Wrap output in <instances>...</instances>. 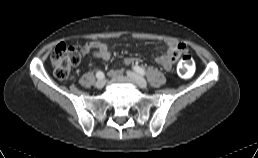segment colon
Here are the masks:
<instances>
[{
  "mask_svg": "<svg viewBox=\"0 0 258 158\" xmlns=\"http://www.w3.org/2000/svg\"><path fill=\"white\" fill-rule=\"evenodd\" d=\"M87 46L75 47L60 43L51 55V64L54 74L59 79H66L72 68L79 64L82 56L88 52ZM193 60L189 55H184L178 66V73L181 77L187 78L193 72Z\"/></svg>",
  "mask_w": 258,
  "mask_h": 158,
  "instance_id": "1",
  "label": "colon"
}]
</instances>
